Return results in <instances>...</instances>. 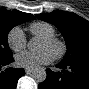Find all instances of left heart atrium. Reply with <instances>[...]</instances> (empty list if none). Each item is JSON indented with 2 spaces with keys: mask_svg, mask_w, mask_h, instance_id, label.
Segmentation results:
<instances>
[{
  "mask_svg": "<svg viewBox=\"0 0 89 89\" xmlns=\"http://www.w3.org/2000/svg\"><path fill=\"white\" fill-rule=\"evenodd\" d=\"M54 55L49 50H42L36 53L22 52L16 55V64L23 68H36L43 64L50 63Z\"/></svg>",
  "mask_w": 89,
  "mask_h": 89,
  "instance_id": "1",
  "label": "left heart atrium"
}]
</instances>
